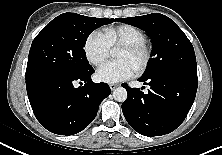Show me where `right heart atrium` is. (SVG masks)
Segmentation results:
<instances>
[{
    "mask_svg": "<svg viewBox=\"0 0 222 155\" xmlns=\"http://www.w3.org/2000/svg\"><path fill=\"white\" fill-rule=\"evenodd\" d=\"M84 51L88 61L92 65L99 66L109 57L111 47L105 35L95 30L86 38Z\"/></svg>",
    "mask_w": 222,
    "mask_h": 155,
    "instance_id": "obj_1",
    "label": "right heart atrium"
}]
</instances>
